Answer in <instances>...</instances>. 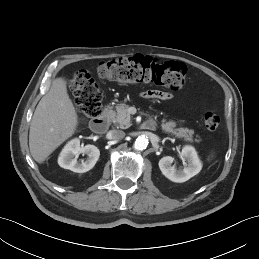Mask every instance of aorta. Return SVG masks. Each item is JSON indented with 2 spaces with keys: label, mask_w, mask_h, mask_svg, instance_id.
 Instances as JSON below:
<instances>
[{
  "label": "aorta",
  "mask_w": 259,
  "mask_h": 259,
  "mask_svg": "<svg viewBox=\"0 0 259 259\" xmlns=\"http://www.w3.org/2000/svg\"><path fill=\"white\" fill-rule=\"evenodd\" d=\"M148 145V139L145 136H139L134 144V148L136 150H143L147 147Z\"/></svg>",
  "instance_id": "aorta-1"
}]
</instances>
